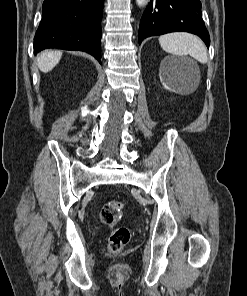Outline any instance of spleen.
<instances>
[{"instance_id": "obj_1", "label": "spleen", "mask_w": 247, "mask_h": 296, "mask_svg": "<svg viewBox=\"0 0 247 296\" xmlns=\"http://www.w3.org/2000/svg\"><path fill=\"white\" fill-rule=\"evenodd\" d=\"M159 43L163 50L173 55H190L200 63L207 62V50L204 43L190 33H168L159 37Z\"/></svg>"}]
</instances>
